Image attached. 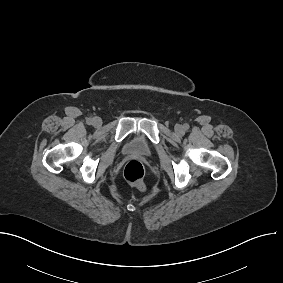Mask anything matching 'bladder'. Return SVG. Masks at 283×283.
Segmentation results:
<instances>
[{"instance_id": "obj_1", "label": "bladder", "mask_w": 283, "mask_h": 283, "mask_svg": "<svg viewBox=\"0 0 283 283\" xmlns=\"http://www.w3.org/2000/svg\"><path fill=\"white\" fill-rule=\"evenodd\" d=\"M152 146L149 141L141 134L129 138L123 147V152L129 155L148 157L152 154Z\"/></svg>"}]
</instances>
